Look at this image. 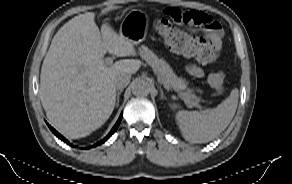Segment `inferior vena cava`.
Listing matches in <instances>:
<instances>
[{
  "label": "inferior vena cava",
  "mask_w": 292,
  "mask_h": 184,
  "mask_svg": "<svg viewBox=\"0 0 292 184\" xmlns=\"http://www.w3.org/2000/svg\"><path fill=\"white\" fill-rule=\"evenodd\" d=\"M130 80H131V75L120 74L119 76L116 77L114 83L117 89H123L130 83Z\"/></svg>",
  "instance_id": "1"
}]
</instances>
